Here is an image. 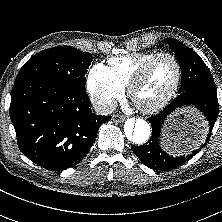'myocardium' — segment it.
<instances>
[{"mask_svg": "<svg viewBox=\"0 0 222 222\" xmlns=\"http://www.w3.org/2000/svg\"><path fill=\"white\" fill-rule=\"evenodd\" d=\"M160 58H170L175 66H176V77L174 80V83L171 87V89L167 92V94L157 103L150 105V106H138V108L146 114H151L155 113L161 109H163L165 106L169 104V102L173 99L175 94L177 93L180 82H181V77H182V67L175 55L172 53L168 52H162V53H157L154 55L152 58L147 60L144 64L140 66V68L136 71L132 79L130 80L128 84V95L129 97L134 101V93L137 89V87L140 85V83L143 81L147 71L151 67V65L158 59Z\"/></svg>", "mask_w": 222, "mask_h": 222, "instance_id": "myocardium-1", "label": "myocardium"}]
</instances>
